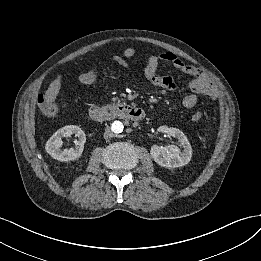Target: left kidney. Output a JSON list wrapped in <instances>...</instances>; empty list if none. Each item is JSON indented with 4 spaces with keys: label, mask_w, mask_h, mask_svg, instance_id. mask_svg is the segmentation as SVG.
<instances>
[{
    "label": "left kidney",
    "mask_w": 261,
    "mask_h": 261,
    "mask_svg": "<svg viewBox=\"0 0 261 261\" xmlns=\"http://www.w3.org/2000/svg\"><path fill=\"white\" fill-rule=\"evenodd\" d=\"M158 131L177 138L184 149L181 151L178 146L173 144L166 147L153 145L150 150L153 160L166 168H177L188 164L191 160L192 148L185 134L177 128L167 126L159 127Z\"/></svg>",
    "instance_id": "obj_1"
}]
</instances>
